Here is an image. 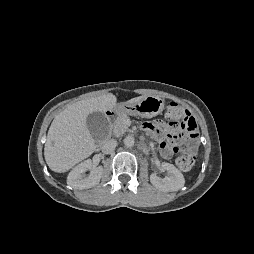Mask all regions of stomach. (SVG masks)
I'll use <instances>...</instances> for the list:
<instances>
[{
	"label": "stomach",
	"mask_w": 254,
	"mask_h": 254,
	"mask_svg": "<svg viewBox=\"0 0 254 254\" xmlns=\"http://www.w3.org/2000/svg\"><path fill=\"white\" fill-rule=\"evenodd\" d=\"M165 107L164 100L158 96H146L136 103L124 102L112 109L115 115L128 114L143 118H152L159 115Z\"/></svg>",
	"instance_id": "0dacf381"
}]
</instances>
